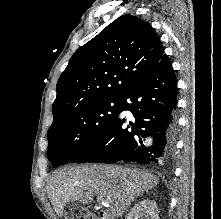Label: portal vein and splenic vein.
<instances>
[{
	"label": "portal vein and splenic vein",
	"mask_w": 221,
	"mask_h": 219,
	"mask_svg": "<svg viewBox=\"0 0 221 219\" xmlns=\"http://www.w3.org/2000/svg\"><path fill=\"white\" fill-rule=\"evenodd\" d=\"M101 205L103 206H109L107 202H105L104 200H101Z\"/></svg>",
	"instance_id": "portal-vein-and-splenic-vein-1"
}]
</instances>
